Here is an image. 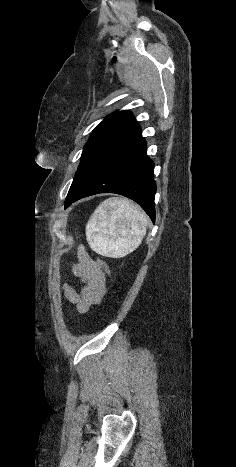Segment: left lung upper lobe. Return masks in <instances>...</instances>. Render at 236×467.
I'll return each instance as SVG.
<instances>
[{
	"mask_svg": "<svg viewBox=\"0 0 236 467\" xmlns=\"http://www.w3.org/2000/svg\"><path fill=\"white\" fill-rule=\"evenodd\" d=\"M137 124L128 110L108 115L93 131L86 143L78 170L67 198L75 194L92 173L107 149L127 130Z\"/></svg>",
	"mask_w": 236,
	"mask_h": 467,
	"instance_id": "1",
	"label": "left lung upper lobe"
}]
</instances>
